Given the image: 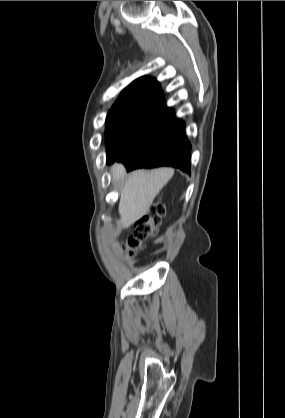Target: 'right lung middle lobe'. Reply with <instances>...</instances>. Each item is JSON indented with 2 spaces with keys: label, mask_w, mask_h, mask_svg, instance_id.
<instances>
[{
  "label": "right lung middle lobe",
  "mask_w": 285,
  "mask_h": 418,
  "mask_svg": "<svg viewBox=\"0 0 285 418\" xmlns=\"http://www.w3.org/2000/svg\"><path fill=\"white\" fill-rule=\"evenodd\" d=\"M173 113L171 109L137 103L114 105L106 118L107 159L130 150L164 124Z\"/></svg>",
  "instance_id": "right-lung-middle-lobe-1"
}]
</instances>
